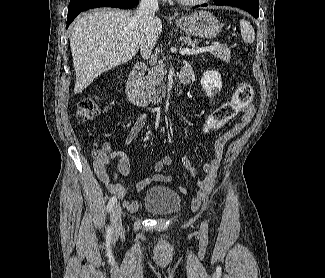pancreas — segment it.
Returning a JSON list of instances; mask_svg holds the SVG:
<instances>
[{
    "mask_svg": "<svg viewBox=\"0 0 325 278\" xmlns=\"http://www.w3.org/2000/svg\"><path fill=\"white\" fill-rule=\"evenodd\" d=\"M184 42L193 48L197 43L196 40L193 41L189 37H185ZM211 54L224 62L230 61V49L226 45H218L216 49L211 51ZM166 73L164 64L159 63L153 66L143 79L145 97L154 104L160 103V95H165V86L163 81L166 79Z\"/></svg>",
    "mask_w": 325,
    "mask_h": 278,
    "instance_id": "1",
    "label": "pancreas"
}]
</instances>
